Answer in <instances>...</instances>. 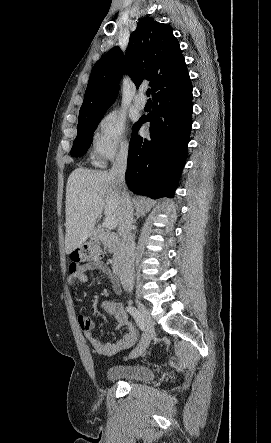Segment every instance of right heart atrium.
Segmentation results:
<instances>
[{
  "mask_svg": "<svg viewBox=\"0 0 271 443\" xmlns=\"http://www.w3.org/2000/svg\"><path fill=\"white\" fill-rule=\"evenodd\" d=\"M130 131L126 119L109 111L97 122L90 143L91 157L98 165L125 154L130 147Z\"/></svg>",
  "mask_w": 271,
  "mask_h": 443,
  "instance_id": "1",
  "label": "right heart atrium"
}]
</instances>
